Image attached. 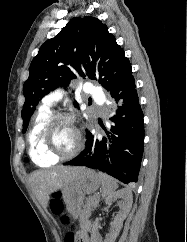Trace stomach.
Masks as SVG:
<instances>
[{
    "label": "stomach",
    "mask_w": 187,
    "mask_h": 242,
    "mask_svg": "<svg viewBox=\"0 0 187 242\" xmlns=\"http://www.w3.org/2000/svg\"><path fill=\"white\" fill-rule=\"evenodd\" d=\"M101 185L99 174L92 169L82 167L72 178L62 198L66 210L73 217L81 215V207L85 194L94 193Z\"/></svg>",
    "instance_id": "stomach-1"
}]
</instances>
